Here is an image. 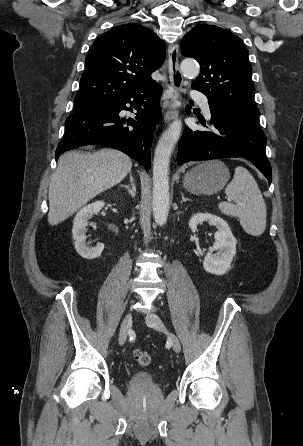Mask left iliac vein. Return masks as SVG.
I'll list each match as a JSON object with an SVG mask.
<instances>
[{
    "label": "left iliac vein",
    "instance_id": "left-iliac-vein-1",
    "mask_svg": "<svg viewBox=\"0 0 303 446\" xmlns=\"http://www.w3.org/2000/svg\"><path fill=\"white\" fill-rule=\"evenodd\" d=\"M146 323L149 327L166 333L169 337L171 344H172L173 350L176 353H179L181 351V344H180L179 339L177 338L176 335H174L173 333H171L167 330L166 326L164 325L163 321L160 319L159 316H157L156 314H149L146 317Z\"/></svg>",
    "mask_w": 303,
    "mask_h": 446
}]
</instances>
